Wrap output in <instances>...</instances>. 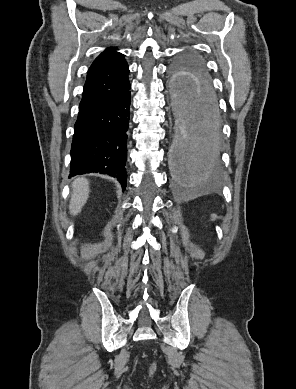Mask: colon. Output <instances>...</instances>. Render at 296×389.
Segmentation results:
<instances>
[{"mask_svg":"<svg viewBox=\"0 0 296 389\" xmlns=\"http://www.w3.org/2000/svg\"><path fill=\"white\" fill-rule=\"evenodd\" d=\"M154 370H155V364L153 363L151 366V372H153Z\"/></svg>","mask_w":296,"mask_h":389,"instance_id":"1","label":"colon"}]
</instances>
